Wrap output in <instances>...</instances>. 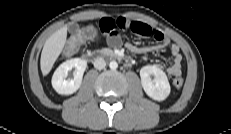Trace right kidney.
<instances>
[{
	"label": "right kidney",
	"instance_id": "1",
	"mask_svg": "<svg viewBox=\"0 0 231 134\" xmlns=\"http://www.w3.org/2000/svg\"><path fill=\"white\" fill-rule=\"evenodd\" d=\"M87 61L81 58H73L63 62L52 76V86L61 95L75 93L82 83L83 73L86 70ZM72 68H75L74 78L66 79Z\"/></svg>",
	"mask_w": 231,
	"mask_h": 134
}]
</instances>
